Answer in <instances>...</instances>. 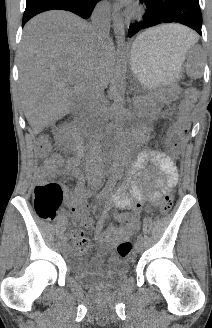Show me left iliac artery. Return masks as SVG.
I'll return each instance as SVG.
<instances>
[{
    "instance_id": "1",
    "label": "left iliac artery",
    "mask_w": 212,
    "mask_h": 328,
    "mask_svg": "<svg viewBox=\"0 0 212 328\" xmlns=\"http://www.w3.org/2000/svg\"><path fill=\"white\" fill-rule=\"evenodd\" d=\"M137 240L143 242L144 238H143L142 234H139V235L137 236Z\"/></svg>"
}]
</instances>
